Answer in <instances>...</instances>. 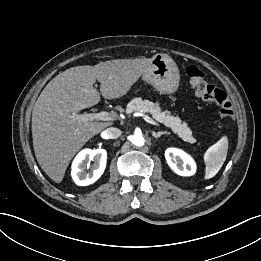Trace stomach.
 <instances>
[{"instance_id":"1","label":"stomach","mask_w":261,"mask_h":261,"mask_svg":"<svg viewBox=\"0 0 261 261\" xmlns=\"http://www.w3.org/2000/svg\"><path fill=\"white\" fill-rule=\"evenodd\" d=\"M142 77L161 94H173L179 87V69L175 61L167 54L154 55L150 67Z\"/></svg>"}]
</instances>
